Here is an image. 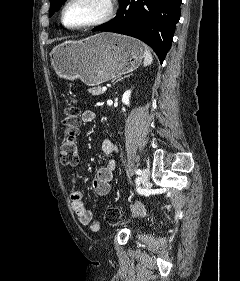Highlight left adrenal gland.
<instances>
[{"mask_svg":"<svg viewBox=\"0 0 240 281\" xmlns=\"http://www.w3.org/2000/svg\"><path fill=\"white\" fill-rule=\"evenodd\" d=\"M130 75H126V76H124V77H120V78H118L113 84H115L116 82H118V81H121V80H123V79H125V78H127V77H129Z\"/></svg>","mask_w":240,"mask_h":281,"instance_id":"obj_1","label":"left adrenal gland"}]
</instances>
